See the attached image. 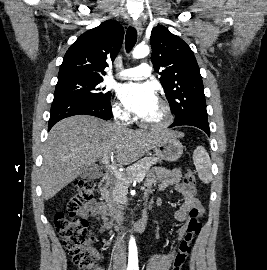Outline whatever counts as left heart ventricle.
I'll return each instance as SVG.
<instances>
[{"label":"left heart ventricle","instance_id":"1","mask_svg":"<svg viewBox=\"0 0 267 270\" xmlns=\"http://www.w3.org/2000/svg\"><path fill=\"white\" fill-rule=\"evenodd\" d=\"M162 118L163 112L158 102L145 116L142 117L145 121L153 123L159 122Z\"/></svg>","mask_w":267,"mask_h":270}]
</instances>
